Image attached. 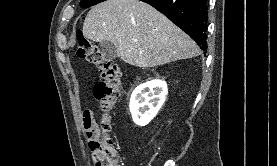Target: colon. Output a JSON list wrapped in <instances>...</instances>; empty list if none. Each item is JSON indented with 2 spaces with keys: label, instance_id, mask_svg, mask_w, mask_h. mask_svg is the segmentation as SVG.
Wrapping results in <instances>:
<instances>
[{
  "label": "colon",
  "instance_id": "obj_1",
  "mask_svg": "<svg viewBox=\"0 0 277 166\" xmlns=\"http://www.w3.org/2000/svg\"><path fill=\"white\" fill-rule=\"evenodd\" d=\"M77 54L94 64L101 76V80L95 84L93 90L102 112L100 124L88 118L84 126L95 166H118V154L110 133L111 112L119 97L120 69L95 44L86 39L81 31L77 33Z\"/></svg>",
  "mask_w": 277,
  "mask_h": 166
}]
</instances>
